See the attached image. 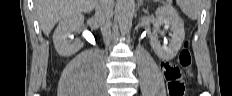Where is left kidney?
<instances>
[{"label": "left kidney", "mask_w": 232, "mask_h": 96, "mask_svg": "<svg viewBox=\"0 0 232 96\" xmlns=\"http://www.w3.org/2000/svg\"><path fill=\"white\" fill-rule=\"evenodd\" d=\"M155 30L150 37V44L157 56L163 60H171L178 53L185 38L184 23L176 10L170 5L159 7L156 12ZM170 28L171 40L168 45H161L158 40L160 27Z\"/></svg>", "instance_id": "obj_1"}]
</instances>
